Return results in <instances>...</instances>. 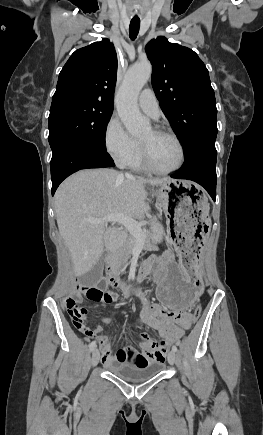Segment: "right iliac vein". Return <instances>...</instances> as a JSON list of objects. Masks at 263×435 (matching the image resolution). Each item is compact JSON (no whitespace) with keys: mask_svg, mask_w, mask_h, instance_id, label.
<instances>
[{"mask_svg":"<svg viewBox=\"0 0 263 435\" xmlns=\"http://www.w3.org/2000/svg\"><path fill=\"white\" fill-rule=\"evenodd\" d=\"M100 359V353L98 349H94L91 356V365L96 366Z\"/></svg>","mask_w":263,"mask_h":435,"instance_id":"right-iliac-vein-1","label":"right iliac vein"}]
</instances>
